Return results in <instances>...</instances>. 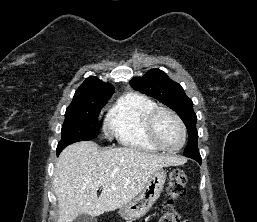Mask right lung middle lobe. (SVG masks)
<instances>
[{"label":"right lung middle lobe","mask_w":257,"mask_h":222,"mask_svg":"<svg viewBox=\"0 0 257 222\" xmlns=\"http://www.w3.org/2000/svg\"><path fill=\"white\" fill-rule=\"evenodd\" d=\"M109 99H92L72 102L65 113L62 139L57 146L61 152L69 144L92 140L98 136V115Z\"/></svg>","instance_id":"dd1d6c3e"}]
</instances>
